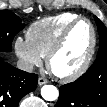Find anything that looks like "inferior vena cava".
Listing matches in <instances>:
<instances>
[{
    "mask_svg": "<svg viewBox=\"0 0 107 107\" xmlns=\"http://www.w3.org/2000/svg\"><path fill=\"white\" fill-rule=\"evenodd\" d=\"M17 68L20 69V70H23L25 72L31 73L33 71V69H34V66H33V64H31L28 61L19 59L17 61Z\"/></svg>",
    "mask_w": 107,
    "mask_h": 107,
    "instance_id": "1",
    "label": "inferior vena cava"
}]
</instances>
